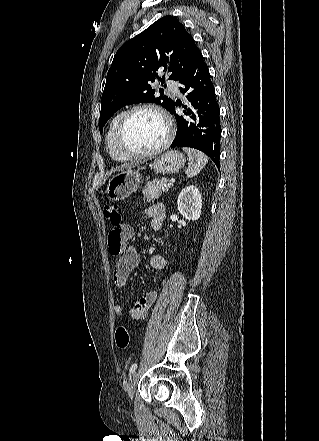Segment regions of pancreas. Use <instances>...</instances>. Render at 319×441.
<instances>
[{"instance_id": "pancreas-1", "label": "pancreas", "mask_w": 319, "mask_h": 441, "mask_svg": "<svg viewBox=\"0 0 319 441\" xmlns=\"http://www.w3.org/2000/svg\"><path fill=\"white\" fill-rule=\"evenodd\" d=\"M168 178L154 179L148 181L143 189L144 202H153L158 199L162 193L168 191Z\"/></svg>"}]
</instances>
